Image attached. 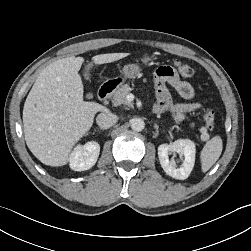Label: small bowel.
<instances>
[{"label": "small bowel", "instance_id": "c3829d8e", "mask_svg": "<svg viewBox=\"0 0 251 251\" xmlns=\"http://www.w3.org/2000/svg\"><path fill=\"white\" fill-rule=\"evenodd\" d=\"M154 84L156 93L154 111L156 113L165 111L189 113L201 108V104L197 102L172 103L167 85L172 86L186 100H191L195 97V90L189 82L182 80L171 67L163 66L157 69L154 76Z\"/></svg>", "mask_w": 251, "mask_h": 251}]
</instances>
